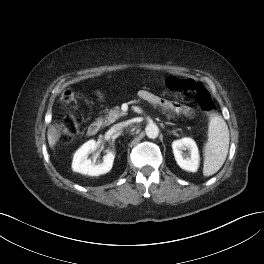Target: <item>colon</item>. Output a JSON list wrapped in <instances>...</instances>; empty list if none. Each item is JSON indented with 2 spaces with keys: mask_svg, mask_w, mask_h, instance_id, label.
I'll list each match as a JSON object with an SVG mask.
<instances>
[{
  "mask_svg": "<svg viewBox=\"0 0 264 264\" xmlns=\"http://www.w3.org/2000/svg\"><path fill=\"white\" fill-rule=\"evenodd\" d=\"M166 86L183 101H195L200 108L209 113L213 110V100L210 92L201 84L190 79L171 77L166 80ZM62 102L66 108H72L76 104V97L73 91L66 90L62 95ZM81 120L73 115L64 116L56 128L60 141L69 142L74 136L80 133Z\"/></svg>",
  "mask_w": 264,
  "mask_h": 264,
  "instance_id": "5ec220e1",
  "label": "colon"
}]
</instances>
